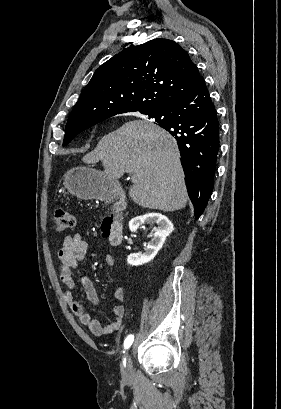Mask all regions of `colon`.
Instances as JSON below:
<instances>
[{"mask_svg":"<svg viewBox=\"0 0 281 409\" xmlns=\"http://www.w3.org/2000/svg\"><path fill=\"white\" fill-rule=\"evenodd\" d=\"M52 219L58 233H65L74 225V218L70 211L58 208L53 211Z\"/></svg>","mask_w":281,"mask_h":409,"instance_id":"colon-1","label":"colon"}]
</instances>
